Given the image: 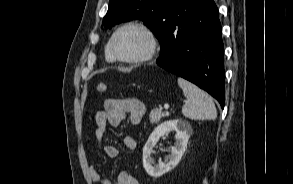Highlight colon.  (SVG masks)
<instances>
[{"instance_id":"1","label":"colon","mask_w":293,"mask_h":184,"mask_svg":"<svg viewBox=\"0 0 293 184\" xmlns=\"http://www.w3.org/2000/svg\"><path fill=\"white\" fill-rule=\"evenodd\" d=\"M96 90H97L99 93H106L107 90H108V87H107V85H106L105 83L100 82V83H98V84L96 85Z\"/></svg>"}]
</instances>
